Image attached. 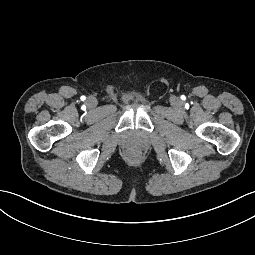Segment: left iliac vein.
Wrapping results in <instances>:
<instances>
[{"instance_id": "left-iliac-vein-1", "label": "left iliac vein", "mask_w": 255, "mask_h": 255, "mask_svg": "<svg viewBox=\"0 0 255 255\" xmlns=\"http://www.w3.org/2000/svg\"><path fill=\"white\" fill-rule=\"evenodd\" d=\"M173 104H174V106H179L180 105V100L175 99Z\"/></svg>"}]
</instances>
